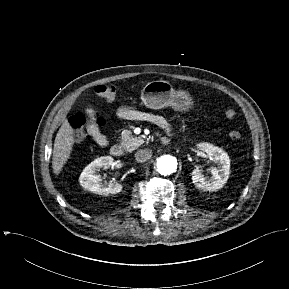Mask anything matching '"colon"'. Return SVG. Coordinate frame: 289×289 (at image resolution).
<instances>
[{
	"mask_svg": "<svg viewBox=\"0 0 289 289\" xmlns=\"http://www.w3.org/2000/svg\"><path fill=\"white\" fill-rule=\"evenodd\" d=\"M117 91V85L114 83H107V84H101L96 86L95 92L96 94L105 100H112L114 99ZM225 116L228 119H233L236 116V112L232 108H228L225 110ZM69 125L74 129L75 132V138L77 141H80L83 139L85 135V128L88 127L90 124L89 118L81 113H78L74 116H71L68 120ZM94 124H96L98 127H101L104 125V119L102 118H94L92 121ZM229 136L233 140H239L241 138V134L239 131L232 130L229 133Z\"/></svg>",
	"mask_w": 289,
	"mask_h": 289,
	"instance_id": "1",
	"label": "colon"
}]
</instances>
